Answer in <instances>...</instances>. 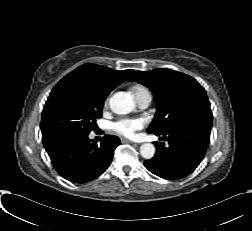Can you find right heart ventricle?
I'll use <instances>...</instances> for the list:
<instances>
[{
	"mask_svg": "<svg viewBox=\"0 0 252 231\" xmlns=\"http://www.w3.org/2000/svg\"><path fill=\"white\" fill-rule=\"evenodd\" d=\"M133 95L136 97L139 94L149 92L145 87L137 85L132 88Z\"/></svg>",
	"mask_w": 252,
	"mask_h": 231,
	"instance_id": "e07e8e85",
	"label": "right heart ventricle"
}]
</instances>
